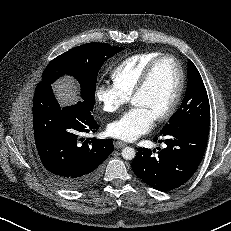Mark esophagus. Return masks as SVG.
Wrapping results in <instances>:
<instances>
[{
    "label": "esophagus",
    "mask_w": 231,
    "mask_h": 231,
    "mask_svg": "<svg viewBox=\"0 0 231 231\" xmlns=\"http://www.w3.org/2000/svg\"><path fill=\"white\" fill-rule=\"evenodd\" d=\"M125 146H127V143H125L123 141H116L115 142V148H117V149L124 148Z\"/></svg>",
    "instance_id": "34e87169"
}]
</instances>
